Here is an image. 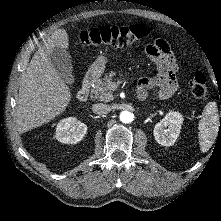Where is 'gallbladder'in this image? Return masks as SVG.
I'll use <instances>...</instances> for the list:
<instances>
[{"mask_svg":"<svg viewBox=\"0 0 221 221\" xmlns=\"http://www.w3.org/2000/svg\"><path fill=\"white\" fill-rule=\"evenodd\" d=\"M53 67L67 84L74 83L71 57L65 49L55 47L50 53Z\"/></svg>","mask_w":221,"mask_h":221,"instance_id":"1","label":"gallbladder"}]
</instances>
